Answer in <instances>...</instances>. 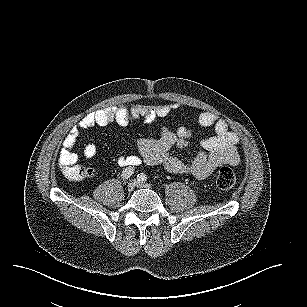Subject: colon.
I'll list each match as a JSON object with an SVG mask.
<instances>
[{
  "mask_svg": "<svg viewBox=\"0 0 307 307\" xmlns=\"http://www.w3.org/2000/svg\"><path fill=\"white\" fill-rule=\"evenodd\" d=\"M64 174L71 180L79 181L92 177L94 170L77 163H71L63 167ZM215 183L219 189L229 190L236 184V176L229 167H221L215 174Z\"/></svg>",
  "mask_w": 307,
  "mask_h": 307,
  "instance_id": "colon-1",
  "label": "colon"
}]
</instances>
